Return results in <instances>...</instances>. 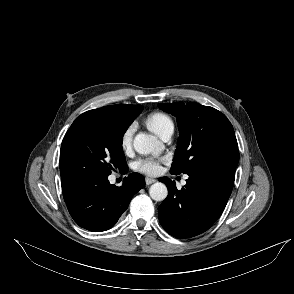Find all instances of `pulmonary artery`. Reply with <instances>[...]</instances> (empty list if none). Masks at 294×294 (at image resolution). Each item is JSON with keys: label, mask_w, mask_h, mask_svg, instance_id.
I'll return each instance as SVG.
<instances>
[{"label": "pulmonary artery", "mask_w": 294, "mask_h": 294, "mask_svg": "<svg viewBox=\"0 0 294 294\" xmlns=\"http://www.w3.org/2000/svg\"><path fill=\"white\" fill-rule=\"evenodd\" d=\"M173 132H174V129L171 128V129L167 130V131L161 136V138H162L164 141H168V140L171 139V137H172V135H173ZM187 178H188V177L186 176V177L184 178L183 182H185Z\"/></svg>", "instance_id": "obj_1"}]
</instances>
